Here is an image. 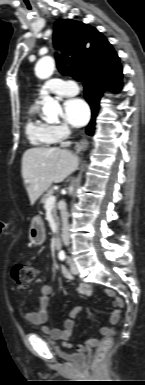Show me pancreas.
I'll return each mask as SVG.
<instances>
[{
    "label": "pancreas",
    "mask_w": 145,
    "mask_h": 385,
    "mask_svg": "<svg viewBox=\"0 0 145 385\" xmlns=\"http://www.w3.org/2000/svg\"><path fill=\"white\" fill-rule=\"evenodd\" d=\"M54 193L53 189H49L47 191L46 194L43 195L41 201L42 203L44 204V207H45V204H46V201L47 199ZM52 214L54 216V218L56 219V221H58V217H57V212H56V206L54 205L53 208H52Z\"/></svg>",
    "instance_id": "1"
}]
</instances>
